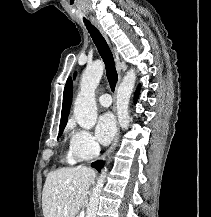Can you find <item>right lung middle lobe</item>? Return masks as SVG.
I'll list each match as a JSON object with an SVG mask.
<instances>
[{
	"instance_id": "dd1d6c3e",
	"label": "right lung middle lobe",
	"mask_w": 211,
	"mask_h": 217,
	"mask_svg": "<svg viewBox=\"0 0 211 217\" xmlns=\"http://www.w3.org/2000/svg\"><path fill=\"white\" fill-rule=\"evenodd\" d=\"M63 130H64V127L59 129V135H58V137H60V136H61V134H62Z\"/></svg>"
}]
</instances>
